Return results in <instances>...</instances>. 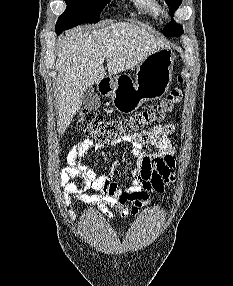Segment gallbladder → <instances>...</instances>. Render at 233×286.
<instances>
[{
    "instance_id": "obj_1",
    "label": "gallbladder",
    "mask_w": 233,
    "mask_h": 286,
    "mask_svg": "<svg viewBox=\"0 0 233 286\" xmlns=\"http://www.w3.org/2000/svg\"><path fill=\"white\" fill-rule=\"evenodd\" d=\"M82 103L87 109H98L100 107V98L92 86L87 87L82 94Z\"/></svg>"
}]
</instances>
